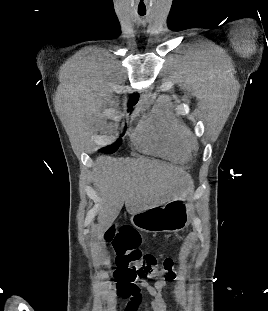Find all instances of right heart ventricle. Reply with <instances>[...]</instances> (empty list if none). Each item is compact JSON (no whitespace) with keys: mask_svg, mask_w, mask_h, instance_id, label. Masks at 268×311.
Segmentation results:
<instances>
[{"mask_svg":"<svg viewBox=\"0 0 268 311\" xmlns=\"http://www.w3.org/2000/svg\"><path fill=\"white\" fill-rule=\"evenodd\" d=\"M182 124L166 104L160 100L138 123L133 140L142 150L178 163L190 158V149L181 135Z\"/></svg>","mask_w":268,"mask_h":311,"instance_id":"e07e8e85","label":"right heart ventricle"}]
</instances>
